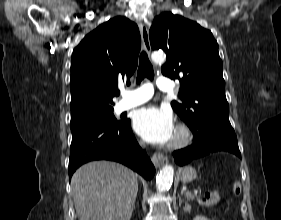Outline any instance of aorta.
Masks as SVG:
<instances>
[{"label": "aorta", "instance_id": "1", "mask_svg": "<svg viewBox=\"0 0 281 220\" xmlns=\"http://www.w3.org/2000/svg\"><path fill=\"white\" fill-rule=\"evenodd\" d=\"M155 63H163L166 56L162 52H154L151 56ZM174 168L171 165H165L156 178L157 189L160 192L168 190L173 182Z\"/></svg>", "mask_w": 281, "mask_h": 220}]
</instances>
